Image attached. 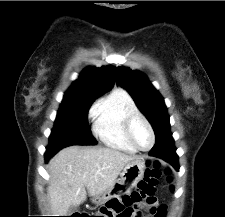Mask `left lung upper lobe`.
<instances>
[{"label": "left lung upper lobe", "instance_id": "left-lung-upper-lobe-1", "mask_svg": "<svg viewBox=\"0 0 225 217\" xmlns=\"http://www.w3.org/2000/svg\"><path fill=\"white\" fill-rule=\"evenodd\" d=\"M116 80L121 87L129 92L137 107L147 117L154 129L156 142L150 152L176 151L164 100L147 77L139 71L118 67Z\"/></svg>", "mask_w": 225, "mask_h": 217}]
</instances>
